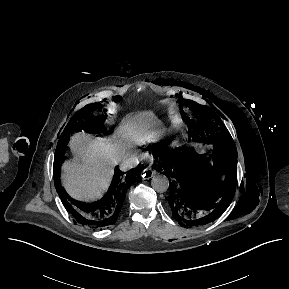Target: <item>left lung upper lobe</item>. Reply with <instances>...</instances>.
<instances>
[{"instance_id": "obj_1", "label": "left lung upper lobe", "mask_w": 289, "mask_h": 289, "mask_svg": "<svg viewBox=\"0 0 289 289\" xmlns=\"http://www.w3.org/2000/svg\"><path fill=\"white\" fill-rule=\"evenodd\" d=\"M178 103L190 137L196 139L199 135L205 136L206 142L213 144L216 162L220 167L226 168L236 162L235 143L219 115L213 109L195 102L180 98Z\"/></svg>"}]
</instances>
